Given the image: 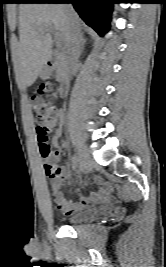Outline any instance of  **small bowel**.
Listing matches in <instances>:
<instances>
[{
    "label": "small bowel",
    "mask_w": 166,
    "mask_h": 267,
    "mask_svg": "<svg viewBox=\"0 0 166 267\" xmlns=\"http://www.w3.org/2000/svg\"><path fill=\"white\" fill-rule=\"evenodd\" d=\"M64 123L65 114L63 110L59 111V115L57 118L51 120L48 123V130L54 131L51 139V144L53 147H58L60 145V139ZM59 157L60 152L56 150L52 153L51 157L49 158V161H51L52 163H56L59 160ZM57 170L58 176L52 179L51 182V194L58 209L65 215H72L100 200L107 199L110 190L109 184H102L98 192L90 193L87 196L80 195L79 200L76 202L66 199L60 190V181L66 179L67 171L64 167H58ZM94 181L101 182V179L99 177H95Z\"/></svg>",
    "instance_id": "obj_1"
}]
</instances>
